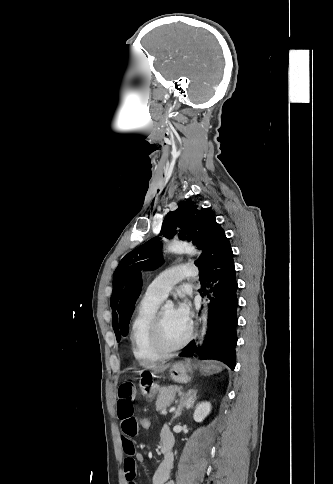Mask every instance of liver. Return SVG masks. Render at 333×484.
Instances as JSON below:
<instances>
[{
    "label": "liver",
    "mask_w": 333,
    "mask_h": 484,
    "mask_svg": "<svg viewBox=\"0 0 333 484\" xmlns=\"http://www.w3.org/2000/svg\"><path fill=\"white\" fill-rule=\"evenodd\" d=\"M169 366H170L169 364H159V365H151L148 368L152 370L154 373H162L166 369H168Z\"/></svg>",
    "instance_id": "6515ba94"
}]
</instances>
